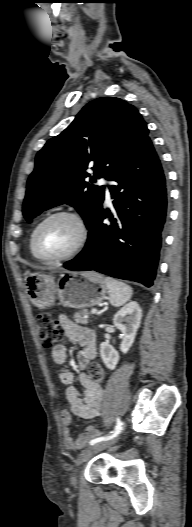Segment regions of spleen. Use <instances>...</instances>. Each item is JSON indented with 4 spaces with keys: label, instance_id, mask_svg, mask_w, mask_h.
I'll return each instance as SVG.
<instances>
[{
    "label": "spleen",
    "instance_id": "1",
    "mask_svg": "<svg viewBox=\"0 0 192 527\" xmlns=\"http://www.w3.org/2000/svg\"><path fill=\"white\" fill-rule=\"evenodd\" d=\"M104 282L109 292L110 303L114 307H120L131 299L133 295V289L126 283L111 277H106Z\"/></svg>",
    "mask_w": 192,
    "mask_h": 527
}]
</instances>
